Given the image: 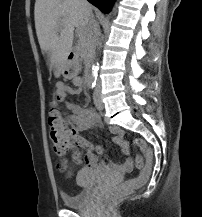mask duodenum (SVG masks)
Returning <instances> with one entry per match:
<instances>
[{
    "label": "duodenum",
    "instance_id": "1",
    "mask_svg": "<svg viewBox=\"0 0 202 217\" xmlns=\"http://www.w3.org/2000/svg\"><path fill=\"white\" fill-rule=\"evenodd\" d=\"M69 64L67 66V71L70 73H74L77 67V57L76 52L74 50H70L68 53ZM87 83L90 84L92 82L91 75L88 73L86 75Z\"/></svg>",
    "mask_w": 202,
    "mask_h": 217
}]
</instances>
